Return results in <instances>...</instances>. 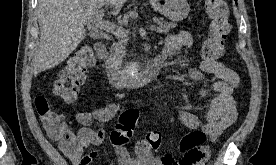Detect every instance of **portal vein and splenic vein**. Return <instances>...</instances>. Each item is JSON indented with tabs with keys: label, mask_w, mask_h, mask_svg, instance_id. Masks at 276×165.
Returning a JSON list of instances; mask_svg holds the SVG:
<instances>
[{
	"label": "portal vein and splenic vein",
	"mask_w": 276,
	"mask_h": 165,
	"mask_svg": "<svg viewBox=\"0 0 276 165\" xmlns=\"http://www.w3.org/2000/svg\"><path fill=\"white\" fill-rule=\"evenodd\" d=\"M102 11H98L96 13V15L94 16L93 18V23L95 24L96 27L100 28L101 30H104L106 32H109V33H112V34H115L119 37H126L128 35V31L126 29H124L123 27L121 26H118L114 23H111V22H107V21H104L102 19ZM149 29L151 31H155L156 30V26L155 25H151L149 27Z\"/></svg>",
	"instance_id": "portal-vein-and-splenic-vein-1"
}]
</instances>
